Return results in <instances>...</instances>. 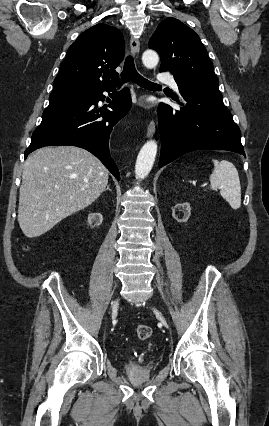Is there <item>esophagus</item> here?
I'll use <instances>...</instances> for the list:
<instances>
[{"mask_svg": "<svg viewBox=\"0 0 269 426\" xmlns=\"http://www.w3.org/2000/svg\"><path fill=\"white\" fill-rule=\"evenodd\" d=\"M130 48H131V52L134 56H136V58H138V53H139V49H140V42L139 40L132 36L130 39ZM155 133V124L153 121H151L147 127V136L148 137H152Z\"/></svg>", "mask_w": 269, "mask_h": 426, "instance_id": "1", "label": "esophagus"}]
</instances>
